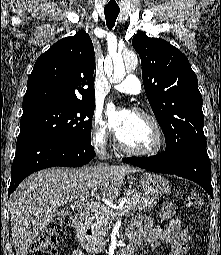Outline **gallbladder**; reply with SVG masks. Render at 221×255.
<instances>
[{"instance_id": "gallbladder-1", "label": "gallbladder", "mask_w": 221, "mask_h": 255, "mask_svg": "<svg viewBox=\"0 0 221 255\" xmlns=\"http://www.w3.org/2000/svg\"><path fill=\"white\" fill-rule=\"evenodd\" d=\"M66 214H68V211L66 209L58 210V213H57V215H61V216L66 215Z\"/></svg>"}]
</instances>
